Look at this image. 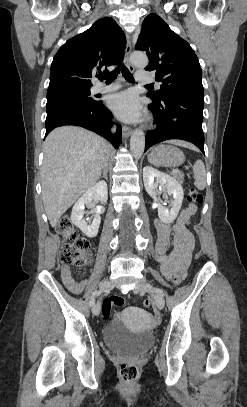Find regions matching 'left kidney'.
I'll use <instances>...</instances> for the list:
<instances>
[{
  "label": "left kidney",
  "mask_w": 247,
  "mask_h": 407,
  "mask_svg": "<svg viewBox=\"0 0 247 407\" xmlns=\"http://www.w3.org/2000/svg\"><path fill=\"white\" fill-rule=\"evenodd\" d=\"M143 181L147 193L153 199H157L158 185L165 187L168 195L173 196L170 209L162 205L158 206L160 220L166 224L172 223L178 216L184 198L181 184L168 174L162 173L150 166H146L143 169Z\"/></svg>",
  "instance_id": "1"
}]
</instances>
